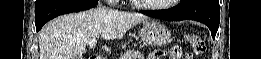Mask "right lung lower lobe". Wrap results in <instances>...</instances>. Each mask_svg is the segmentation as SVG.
<instances>
[{"label": "right lung lower lobe", "mask_w": 261, "mask_h": 59, "mask_svg": "<svg viewBox=\"0 0 261 59\" xmlns=\"http://www.w3.org/2000/svg\"><path fill=\"white\" fill-rule=\"evenodd\" d=\"M98 0H42L35 5V25L37 32L49 20L67 13L78 12L96 6Z\"/></svg>", "instance_id": "obj_1"}]
</instances>
